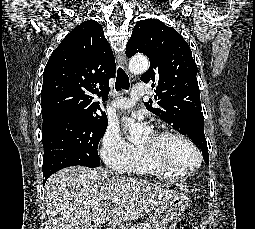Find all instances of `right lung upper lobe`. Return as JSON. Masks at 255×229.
Wrapping results in <instances>:
<instances>
[{"instance_id":"1","label":"right lung upper lobe","mask_w":255,"mask_h":229,"mask_svg":"<svg viewBox=\"0 0 255 229\" xmlns=\"http://www.w3.org/2000/svg\"><path fill=\"white\" fill-rule=\"evenodd\" d=\"M115 59L99 23L88 20L73 29L51 54L41 91L43 122L53 118L107 119L94 96L108 98Z\"/></svg>"}]
</instances>
